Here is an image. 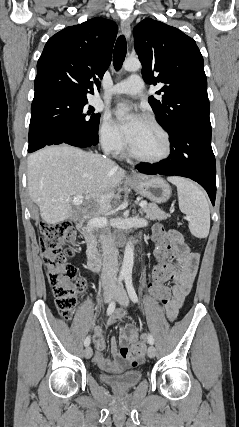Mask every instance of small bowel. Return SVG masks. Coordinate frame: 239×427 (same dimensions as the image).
Returning a JSON list of instances; mask_svg holds the SVG:
<instances>
[{
	"label": "small bowel",
	"mask_w": 239,
	"mask_h": 427,
	"mask_svg": "<svg viewBox=\"0 0 239 427\" xmlns=\"http://www.w3.org/2000/svg\"><path fill=\"white\" fill-rule=\"evenodd\" d=\"M171 237L170 242V258L175 260L172 268L171 280H173V286L169 287L170 297L162 298L167 299V302L163 305L165 308L166 315L170 321H173L178 316L179 310L182 304L190 292L196 274L198 270L200 256L198 253L192 252L189 247L185 244L182 234L175 230L167 231ZM126 312L122 308H118L114 311L110 323L121 324L125 318ZM120 343L124 346L133 345L138 339V331L134 324L130 323L120 327ZM95 343V355L93 357L94 362L104 371L111 373H120L124 369V356L119 352L118 343L115 338L111 339L110 350L111 358H107L103 355L105 349V340L103 336V330L101 327H96L93 337Z\"/></svg>",
	"instance_id": "small-bowel-1"
}]
</instances>
